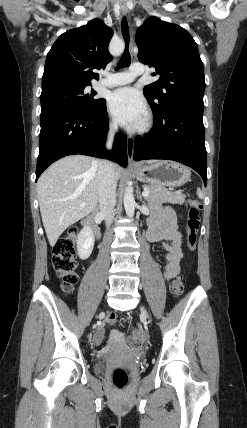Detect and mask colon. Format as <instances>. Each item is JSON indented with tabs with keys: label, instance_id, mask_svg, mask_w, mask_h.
I'll return each mask as SVG.
<instances>
[{
	"label": "colon",
	"instance_id": "colon-1",
	"mask_svg": "<svg viewBox=\"0 0 247 428\" xmlns=\"http://www.w3.org/2000/svg\"><path fill=\"white\" fill-rule=\"evenodd\" d=\"M201 203L197 199L189 201V208L186 216V246L193 251L196 247L197 234L200 225ZM77 228H73L71 235L60 239L53 251L52 264L61 280L64 292H72L77 281V261H76V234ZM170 291L174 297H179L184 291V283L181 276L175 277L170 284ZM117 320L115 314H110L105 320L106 326L113 325ZM143 342V334L139 328H135L129 338L130 346L140 348ZM114 385L121 389L128 382V375L123 370H117L113 376Z\"/></svg>",
	"mask_w": 247,
	"mask_h": 428
}]
</instances>
